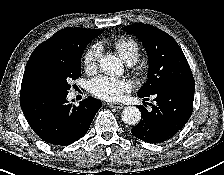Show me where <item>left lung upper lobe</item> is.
I'll return each instance as SVG.
<instances>
[{"instance_id":"1","label":"left lung upper lobe","mask_w":224,"mask_h":175,"mask_svg":"<svg viewBox=\"0 0 224 175\" xmlns=\"http://www.w3.org/2000/svg\"><path fill=\"white\" fill-rule=\"evenodd\" d=\"M139 38L149 59V76L138 95L147 96L168 84L195 85L190 66L177 42L160 29L143 23L123 27Z\"/></svg>"}]
</instances>
